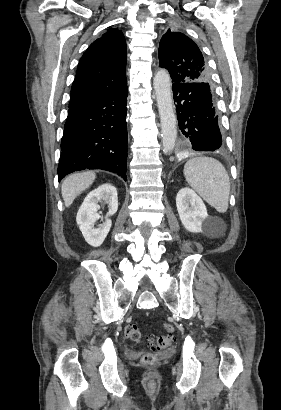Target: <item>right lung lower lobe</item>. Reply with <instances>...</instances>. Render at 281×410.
Wrapping results in <instances>:
<instances>
[{
    "label": "right lung lower lobe",
    "instance_id": "obj_1",
    "mask_svg": "<svg viewBox=\"0 0 281 410\" xmlns=\"http://www.w3.org/2000/svg\"><path fill=\"white\" fill-rule=\"evenodd\" d=\"M127 85L69 107L61 141L59 181L83 169L117 173L127 163Z\"/></svg>",
    "mask_w": 281,
    "mask_h": 410
}]
</instances>
